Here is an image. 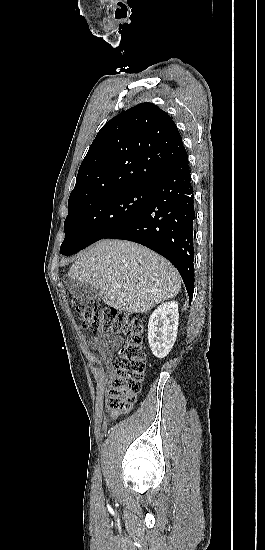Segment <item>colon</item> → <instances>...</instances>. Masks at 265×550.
Returning a JSON list of instances; mask_svg holds the SVG:
<instances>
[{
    "label": "colon",
    "instance_id": "obj_1",
    "mask_svg": "<svg viewBox=\"0 0 265 550\" xmlns=\"http://www.w3.org/2000/svg\"><path fill=\"white\" fill-rule=\"evenodd\" d=\"M76 311L84 329L94 333L123 334L125 343L115 360L116 376L109 391L107 406L113 417L128 413L141 390L145 370L143 318L112 308L78 304Z\"/></svg>",
    "mask_w": 265,
    "mask_h": 550
}]
</instances>
